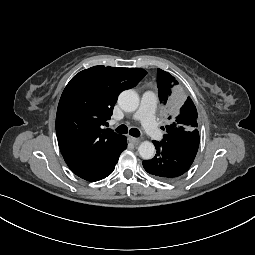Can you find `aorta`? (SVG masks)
Segmentation results:
<instances>
[{
	"label": "aorta",
	"mask_w": 255,
	"mask_h": 255,
	"mask_svg": "<svg viewBox=\"0 0 255 255\" xmlns=\"http://www.w3.org/2000/svg\"><path fill=\"white\" fill-rule=\"evenodd\" d=\"M119 106L126 112H134L139 106V96L132 90H124L118 97ZM142 159L149 160L155 156V146L152 142L144 141L138 147Z\"/></svg>",
	"instance_id": "762f6f07"
}]
</instances>
